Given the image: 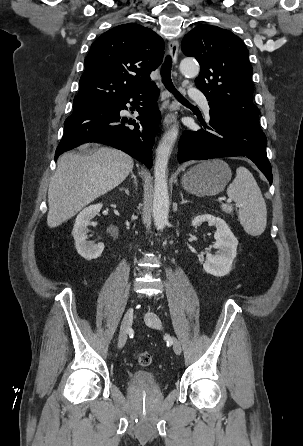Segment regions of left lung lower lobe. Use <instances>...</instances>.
I'll use <instances>...</instances> for the list:
<instances>
[{"mask_svg":"<svg viewBox=\"0 0 303 446\" xmlns=\"http://www.w3.org/2000/svg\"><path fill=\"white\" fill-rule=\"evenodd\" d=\"M210 123L204 129L187 130L179 141L178 161L246 156L272 183L271 165L266 154L267 139L262 131L228 116L217 104L209 103Z\"/></svg>","mask_w":303,"mask_h":446,"instance_id":"0a47b994","label":"left lung lower lobe"}]
</instances>
